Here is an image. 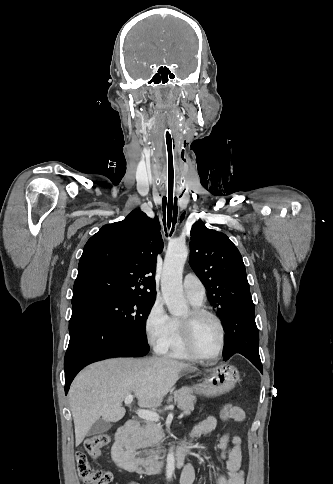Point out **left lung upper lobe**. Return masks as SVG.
I'll list each match as a JSON object with an SVG mask.
<instances>
[{"mask_svg":"<svg viewBox=\"0 0 333 484\" xmlns=\"http://www.w3.org/2000/svg\"><path fill=\"white\" fill-rule=\"evenodd\" d=\"M190 234V265L223 320L232 305L251 295L242 256L225 234L206 228L202 221L193 224Z\"/></svg>","mask_w":333,"mask_h":484,"instance_id":"obj_1","label":"left lung upper lobe"}]
</instances>
